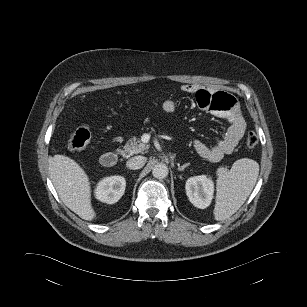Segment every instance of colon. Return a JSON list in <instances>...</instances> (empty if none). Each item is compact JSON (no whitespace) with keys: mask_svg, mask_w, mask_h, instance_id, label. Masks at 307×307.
Returning a JSON list of instances; mask_svg holds the SVG:
<instances>
[{"mask_svg":"<svg viewBox=\"0 0 307 307\" xmlns=\"http://www.w3.org/2000/svg\"><path fill=\"white\" fill-rule=\"evenodd\" d=\"M90 140L89 131L81 127L77 129L70 137L68 142V149L72 152H79L83 150ZM259 142V138L255 132H249L246 136V145L249 148H254Z\"/></svg>","mask_w":307,"mask_h":307,"instance_id":"obj_1","label":"colon"}]
</instances>
